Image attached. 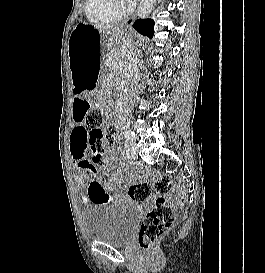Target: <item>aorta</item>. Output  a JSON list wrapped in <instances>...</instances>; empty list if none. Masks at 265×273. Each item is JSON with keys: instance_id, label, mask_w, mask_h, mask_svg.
Listing matches in <instances>:
<instances>
[{"instance_id": "obj_1", "label": "aorta", "mask_w": 265, "mask_h": 273, "mask_svg": "<svg viewBox=\"0 0 265 273\" xmlns=\"http://www.w3.org/2000/svg\"><path fill=\"white\" fill-rule=\"evenodd\" d=\"M154 2L155 0H142L137 9L138 17L141 19L147 18L152 12Z\"/></svg>"}]
</instances>
